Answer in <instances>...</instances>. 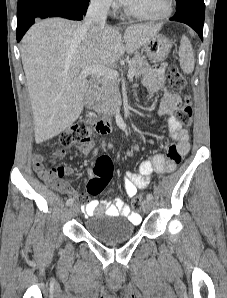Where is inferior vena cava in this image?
I'll list each match as a JSON object with an SVG mask.
<instances>
[{
  "label": "inferior vena cava",
  "mask_w": 227,
  "mask_h": 298,
  "mask_svg": "<svg viewBox=\"0 0 227 298\" xmlns=\"http://www.w3.org/2000/svg\"><path fill=\"white\" fill-rule=\"evenodd\" d=\"M108 11V0H91L81 30L88 33L104 28Z\"/></svg>",
  "instance_id": "602c4592"
}]
</instances>
